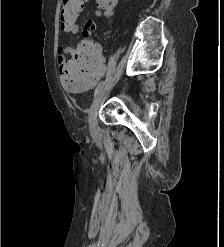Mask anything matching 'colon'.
I'll use <instances>...</instances> for the list:
<instances>
[{"label":"colon","instance_id":"1","mask_svg":"<svg viewBox=\"0 0 224 247\" xmlns=\"http://www.w3.org/2000/svg\"><path fill=\"white\" fill-rule=\"evenodd\" d=\"M117 0H97L100 9L111 13ZM83 0H62L60 5V25L66 30L77 24ZM105 73L98 43L85 39L78 47L75 55L61 64L60 76L64 87L71 91H85L95 85Z\"/></svg>","mask_w":224,"mask_h":247}]
</instances>
